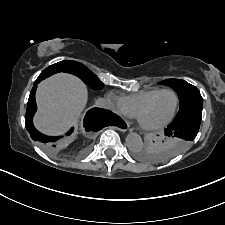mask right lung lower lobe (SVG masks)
<instances>
[{
  "instance_id": "98d812e1",
  "label": "right lung lower lobe",
  "mask_w": 225,
  "mask_h": 225,
  "mask_svg": "<svg viewBox=\"0 0 225 225\" xmlns=\"http://www.w3.org/2000/svg\"><path fill=\"white\" fill-rule=\"evenodd\" d=\"M52 74H54V72L42 71V73L36 79L34 86L30 92V96L27 103V110L25 114L26 129L30 133L31 138L34 141H38L41 144V146L49 152H53L55 150L57 145L56 141L58 140V137L46 136L40 133L39 131H37L33 126L32 119L37 109L36 102H35V92H36L37 84L40 83V81L44 80L45 78L51 76ZM116 118H118V116H116L114 113L108 110L93 108L89 110L85 115L84 127L86 128L87 131L100 130L101 128L106 126L107 122ZM72 131L73 129H71L67 133V135L71 134Z\"/></svg>"
}]
</instances>
